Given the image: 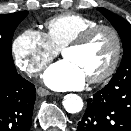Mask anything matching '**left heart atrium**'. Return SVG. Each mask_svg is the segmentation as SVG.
<instances>
[{"label": "left heart atrium", "mask_w": 131, "mask_h": 131, "mask_svg": "<svg viewBox=\"0 0 131 131\" xmlns=\"http://www.w3.org/2000/svg\"><path fill=\"white\" fill-rule=\"evenodd\" d=\"M42 78L45 84L59 91L81 89L86 82V76L83 71L68 59L49 66Z\"/></svg>", "instance_id": "left-heart-atrium-1"}]
</instances>
